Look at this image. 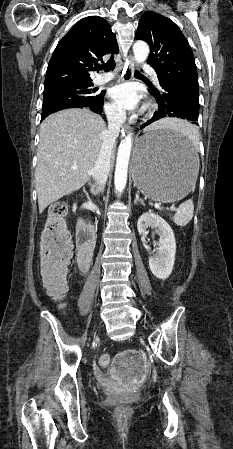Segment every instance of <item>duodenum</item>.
<instances>
[{
  "instance_id": "obj_1",
  "label": "duodenum",
  "mask_w": 233,
  "mask_h": 449,
  "mask_svg": "<svg viewBox=\"0 0 233 449\" xmlns=\"http://www.w3.org/2000/svg\"><path fill=\"white\" fill-rule=\"evenodd\" d=\"M78 264L82 272L87 273L95 250L96 240L92 229L80 223L77 230Z\"/></svg>"
}]
</instances>
